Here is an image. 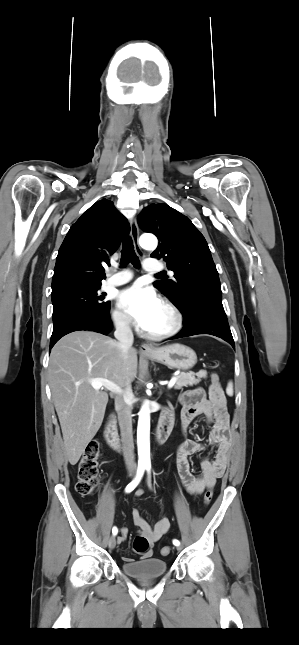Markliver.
Instances as JSON below:
<instances>
[{
    "label": "liver",
    "mask_w": 299,
    "mask_h": 645,
    "mask_svg": "<svg viewBox=\"0 0 299 645\" xmlns=\"http://www.w3.org/2000/svg\"><path fill=\"white\" fill-rule=\"evenodd\" d=\"M137 366L136 349L124 357L115 340L96 332H72L52 348L49 382L71 465L99 430L108 403V393L90 380L107 379L121 388L136 378Z\"/></svg>",
    "instance_id": "6515ba94"
}]
</instances>
